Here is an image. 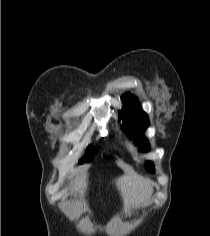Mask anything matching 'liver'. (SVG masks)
Wrapping results in <instances>:
<instances>
[{
  "label": "liver",
  "mask_w": 210,
  "mask_h": 236,
  "mask_svg": "<svg viewBox=\"0 0 210 236\" xmlns=\"http://www.w3.org/2000/svg\"><path fill=\"white\" fill-rule=\"evenodd\" d=\"M116 185L121 192L125 204H131L134 207L148 202L152 193V186L148 181L134 176L124 175L117 179ZM86 186V178H77L73 192H83Z\"/></svg>",
  "instance_id": "1"
}]
</instances>
